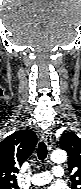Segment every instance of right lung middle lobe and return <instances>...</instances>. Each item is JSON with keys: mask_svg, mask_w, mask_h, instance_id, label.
I'll return each mask as SVG.
<instances>
[{"mask_svg": "<svg viewBox=\"0 0 81 189\" xmlns=\"http://www.w3.org/2000/svg\"><path fill=\"white\" fill-rule=\"evenodd\" d=\"M0 189H19L17 185H5L1 186Z\"/></svg>", "mask_w": 81, "mask_h": 189, "instance_id": "right-lung-middle-lobe-1", "label": "right lung middle lobe"}]
</instances>
